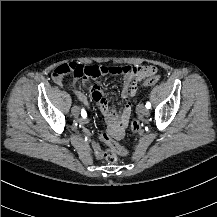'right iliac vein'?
I'll return each mask as SVG.
<instances>
[{
	"mask_svg": "<svg viewBox=\"0 0 217 217\" xmlns=\"http://www.w3.org/2000/svg\"><path fill=\"white\" fill-rule=\"evenodd\" d=\"M71 113L74 117H77L79 115V107L74 105L71 109Z\"/></svg>",
	"mask_w": 217,
	"mask_h": 217,
	"instance_id": "1",
	"label": "right iliac vein"
}]
</instances>
